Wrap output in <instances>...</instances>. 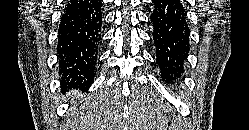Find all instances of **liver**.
Segmentation results:
<instances>
[{
  "label": "liver",
  "instance_id": "liver-1",
  "mask_svg": "<svg viewBox=\"0 0 249 130\" xmlns=\"http://www.w3.org/2000/svg\"><path fill=\"white\" fill-rule=\"evenodd\" d=\"M76 96V93L74 92V91H72L71 93H70V97L71 98H74Z\"/></svg>",
  "mask_w": 249,
  "mask_h": 130
}]
</instances>
